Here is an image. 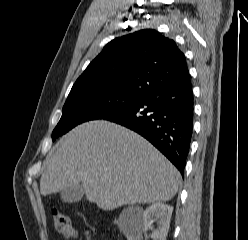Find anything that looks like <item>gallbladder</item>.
<instances>
[{
  "label": "gallbladder",
  "mask_w": 248,
  "mask_h": 240,
  "mask_svg": "<svg viewBox=\"0 0 248 240\" xmlns=\"http://www.w3.org/2000/svg\"><path fill=\"white\" fill-rule=\"evenodd\" d=\"M84 187L81 184L68 187L60 192L61 199L66 203H75L84 195Z\"/></svg>",
  "instance_id": "1"
}]
</instances>
